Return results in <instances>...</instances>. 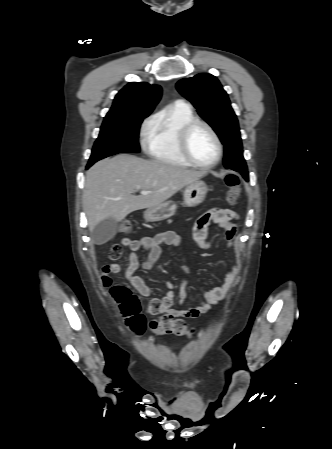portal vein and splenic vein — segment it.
<instances>
[{"mask_svg":"<svg viewBox=\"0 0 332 449\" xmlns=\"http://www.w3.org/2000/svg\"><path fill=\"white\" fill-rule=\"evenodd\" d=\"M149 193H150V191H141V194H143V195H147Z\"/></svg>","mask_w":332,"mask_h":449,"instance_id":"18ae733b","label":"portal vein and splenic vein"}]
</instances>
